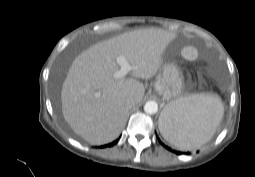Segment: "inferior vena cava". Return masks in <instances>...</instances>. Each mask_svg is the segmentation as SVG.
I'll return each instance as SVG.
<instances>
[{
    "instance_id": "inferior-vena-cava-1",
    "label": "inferior vena cava",
    "mask_w": 255,
    "mask_h": 177,
    "mask_svg": "<svg viewBox=\"0 0 255 177\" xmlns=\"http://www.w3.org/2000/svg\"><path fill=\"white\" fill-rule=\"evenodd\" d=\"M126 105H127V107H128L129 109H131L132 107H134L135 102H134L133 99H128V100L126 101Z\"/></svg>"
}]
</instances>
